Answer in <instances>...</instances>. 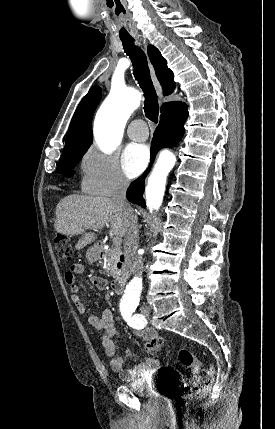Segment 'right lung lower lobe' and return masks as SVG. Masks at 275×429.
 <instances>
[{"label":"right lung lower lobe","instance_id":"right-lung-lower-lobe-1","mask_svg":"<svg viewBox=\"0 0 275 429\" xmlns=\"http://www.w3.org/2000/svg\"><path fill=\"white\" fill-rule=\"evenodd\" d=\"M188 117L187 106L184 103L178 102L174 105V109L160 118V123L156 128L153 136L151 147V163L153 162L157 152L162 148L175 146L183 137L184 123ZM149 172V168L134 182L131 183L127 190V199L145 208L144 180Z\"/></svg>","mask_w":275,"mask_h":429}]
</instances>
